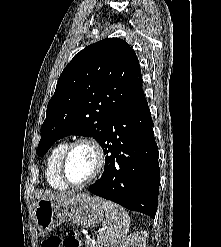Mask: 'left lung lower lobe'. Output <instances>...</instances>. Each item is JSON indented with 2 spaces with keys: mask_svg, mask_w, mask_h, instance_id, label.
<instances>
[{
  "mask_svg": "<svg viewBox=\"0 0 221 247\" xmlns=\"http://www.w3.org/2000/svg\"><path fill=\"white\" fill-rule=\"evenodd\" d=\"M148 103L113 118L102 148L107 154L102 177L91 193L132 211L155 217L160 185L158 149Z\"/></svg>",
  "mask_w": 221,
  "mask_h": 247,
  "instance_id": "obj_1",
  "label": "left lung lower lobe"
}]
</instances>
